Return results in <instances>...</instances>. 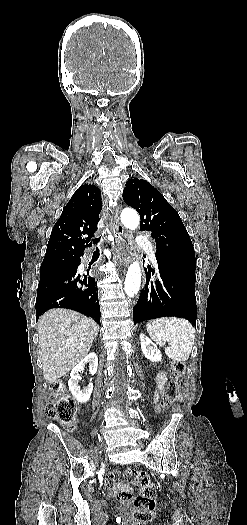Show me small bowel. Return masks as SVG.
I'll return each instance as SVG.
<instances>
[{
	"instance_id": "obj_1",
	"label": "small bowel",
	"mask_w": 247,
	"mask_h": 525,
	"mask_svg": "<svg viewBox=\"0 0 247 525\" xmlns=\"http://www.w3.org/2000/svg\"><path fill=\"white\" fill-rule=\"evenodd\" d=\"M167 382V373L161 372L157 375L156 383H157V392H161L164 389V386ZM104 479L107 483V486L109 488L117 487L119 485V482L115 479V476L113 473L108 472L105 474ZM120 490H113V495H120L116 496V501H125V495L127 493H131V488L127 485H120Z\"/></svg>"
}]
</instances>
